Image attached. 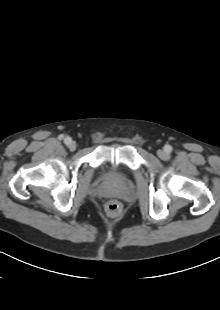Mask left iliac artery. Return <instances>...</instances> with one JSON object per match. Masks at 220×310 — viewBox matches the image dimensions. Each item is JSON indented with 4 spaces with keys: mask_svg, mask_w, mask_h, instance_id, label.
<instances>
[{
    "mask_svg": "<svg viewBox=\"0 0 220 310\" xmlns=\"http://www.w3.org/2000/svg\"><path fill=\"white\" fill-rule=\"evenodd\" d=\"M165 150L170 153L172 151V147L170 145H166Z\"/></svg>",
    "mask_w": 220,
    "mask_h": 310,
    "instance_id": "obj_1",
    "label": "left iliac artery"
}]
</instances>
